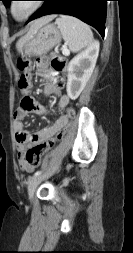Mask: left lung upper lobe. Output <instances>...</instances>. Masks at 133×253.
<instances>
[{"label":"left lung upper lobe","mask_w":133,"mask_h":253,"mask_svg":"<svg viewBox=\"0 0 133 253\" xmlns=\"http://www.w3.org/2000/svg\"><path fill=\"white\" fill-rule=\"evenodd\" d=\"M0 1H3L4 5H5L6 7H8L9 4H10V2L13 1V0H0Z\"/></svg>","instance_id":"obj_1"}]
</instances>
